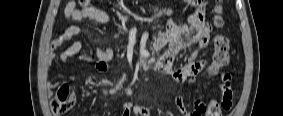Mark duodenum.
Returning a JSON list of instances; mask_svg holds the SVG:
<instances>
[{
  "label": "duodenum",
  "instance_id": "duodenum-1",
  "mask_svg": "<svg viewBox=\"0 0 283 116\" xmlns=\"http://www.w3.org/2000/svg\"><path fill=\"white\" fill-rule=\"evenodd\" d=\"M162 44H163V42L161 41V38H160V40L156 43V45H157L158 47H160Z\"/></svg>",
  "mask_w": 283,
  "mask_h": 116
}]
</instances>
